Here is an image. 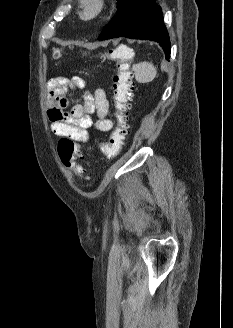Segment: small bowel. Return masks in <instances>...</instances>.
<instances>
[{"label":"small bowel","instance_id":"1","mask_svg":"<svg viewBox=\"0 0 233 328\" xmlns=\"http://www.w3.org/2000/svg\"><path fill=\"white\" fill-rule=\"evenodd\" d=\"M85 87V81L79 76L71 78L56 77L48 84V118L52 132L60 137H68L78 143L88 141V129L94 126L98 131L108 132L113 128V121L108 118L109 102L103 89L94 93L86 92L82 103H75L69 112L64 109L73 94ZM96 114L93 120L92 115Z\"/></svg>","mask_w":233,"mask_h":328}]
</instances>
